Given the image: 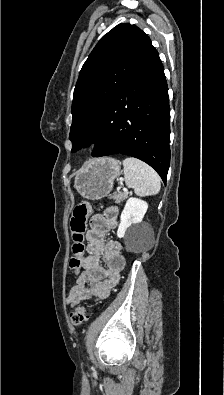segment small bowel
I'll use <instances>...</instances> for the list:
<instances>
[{"label":"small bowel","instance_id":"obj_1","mask_svg":"<svg viewBox=\"0 0 224 395\" xmlns=\"http://www.w3.org/2000/svg\"><path fill=\"white\" fill-rule=\"evenodd\" d=\"M117 224V209L108 208L103 215L92 218L87 232L88 255L82 258V271L71 288L67 303L75 305L83 299H105L117 284L125 267L121 245L117 240H105L106 233ZM105 266L101 265V262Z\"/></svg>","mask_w":224,"mask_h":395}]
</instances>
